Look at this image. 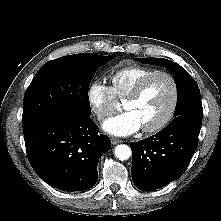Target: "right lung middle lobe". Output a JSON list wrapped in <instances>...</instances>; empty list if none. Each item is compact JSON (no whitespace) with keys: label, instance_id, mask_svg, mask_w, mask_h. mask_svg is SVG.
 Segmentation results:
<instances>
[{"label":"right lung middle lobe","instance_id":"dd1d6c3e","mask_svg":"<svg viewBox=\"0 0 221 221\" xmlns=\"http://www.w3.org/2000/svg\"><path fill=\"white\" fill-rule=\"evenodd\" d=\"M113 57L114 55L81 53L60 57L44 64L24 95L23 128L56 113L90 118L88 88L91 79L97 68Z\"/></svg>","mask_w":221,"mask_h":221}]
</instances>
